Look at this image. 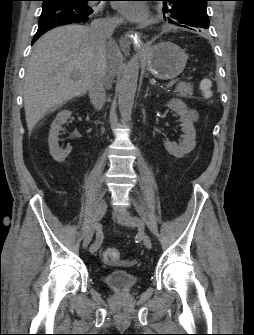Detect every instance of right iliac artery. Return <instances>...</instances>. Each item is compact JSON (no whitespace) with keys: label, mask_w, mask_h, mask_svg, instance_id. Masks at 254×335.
I'll use <instances>...</instances> for the list:
<instances>
[{"label":"right iliac artery","mask_w":254,"mask_h":335,"mask_svg":"<svg viewBox=\"0 0 254 335\" xmlns=\"http://www.w3.org/2000/svg\"><path fill=\"white\" fill-rule=\"evenodd\" d=\"M94 228L96 229V238L93 244L90 246V252L91 253H96L98 249L100 248L102 241H103V231H102V226L100 224L94 225Z\"/></svg>","instance_id":"1"}]
</instances>
